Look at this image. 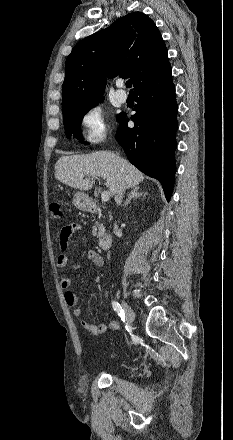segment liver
<instances>
[{"instance_id":"6515ba94","label":"liver","mask_w":233,"mask_h":440,"mask_svg":"<svg viewBox=\"0 0 233 440\" xmlns=\"http://www.w3.org/2000/svg\"><path fill=\"white\" fill-rule=\"evenodd\" d=\"M54 176L58 181L81 191L93 187V177H104L112 196L118 193L121 184L125 188L135 187L145 178L130 162L110 151L62 156L55 164Z\"/></svg>"}]
</instances>
